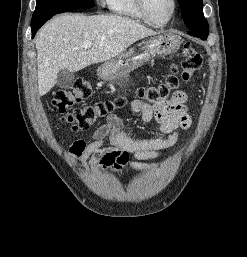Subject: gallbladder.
I'll list each match as a JSON object with an SVG mask.
<instances>
[{
    "mask_svg": "<svg viewBox=\"0 0 247 257\" xmlns=\"http://www.w3.org/2000/svg\"><path fill=\"white\" fill-rule=\"evenodd\" d=\"M75 76L67 69H62L58 72L56 84L62 89H67L74 84Z\"/></svg>",
    "mask_w": 247,
    "mask_h": 257,
    "instance_id": "gallbladder-1",
    "label": "gallbladder"
}]
</instances>
